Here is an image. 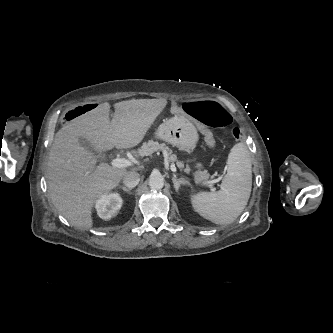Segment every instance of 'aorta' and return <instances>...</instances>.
I'll list each match as a JSON object with an SVG mask.
<instances>
[{
  "label": "aorta",
  "mask_w": 333,
  "mask_h": 333,
  "mask_svg": "<svg viewBox=\"0 0 333 333\" xmlns=\"http://www.w3.org/2000/svg\"><path fill=\"white\" fill-rule=\"evenodd\" d=\"M149 186L152 189H161L164 186V178L159 172H153L149 177Z\"/></svg>",
  "instance_id": "1"
}]
</instances>
